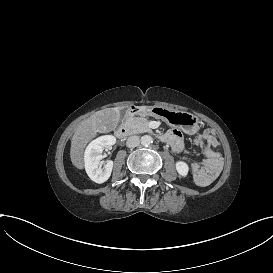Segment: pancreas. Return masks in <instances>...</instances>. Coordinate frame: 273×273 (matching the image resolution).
<instances>
[{
    "mask_svg": "<svg viewBox=\"0 0 273 273\" xmlns=\"http://www.w3.org/2000/svg\"><path fill=\"white\" fill-rule=\"evenodd\" d=\"M151 119L147 117H128L126 118V125L132 130V133H152L150 128Z\"/></svg>",
    "mask_w": 273,
    "mask_h": 273,
    "instance_id": "1",
    "label": "pancreas"
}]
</instances>
